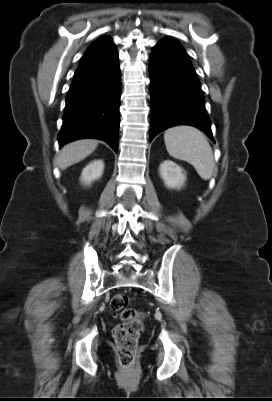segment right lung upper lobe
Returning a JSON list of instances; mask_svg holds the SVG:
<instances>
[{"mask_svg":"<svg viewBox=\"0 0 272 401\" xmlns=\"http://www.w3.org/2000/svg\"><path fill=\"white\" fill-rule=\"evenodd\" d=\"M111 45H113V42L109 37L104 36V37L99 38L98 40L93 42L87 48L86 52L84 53V56L81 59V62H84V61L96 56L97 54L103 52L105 49H107Z\"/></svg>","mask_w":272,"mask_h":401,"instance_id":"obj_1","label":"right lung upper lobe"}]
</instances>
